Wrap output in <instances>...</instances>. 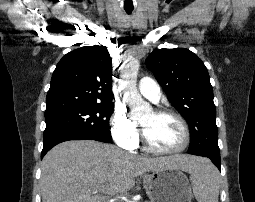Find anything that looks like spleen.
I'll list each match as a JSON object with an SVG mask.
<instances>
[{
	"label": "spleen",
	"instance_id": "1",
	"mask_svg": "<svg viewBox=\"0 0 255 202\" xmlns=\"http://www.w3.org/2000/svg\"><path fill=\"white\" fill-rule=\"evenodd\" d=\"M190 181L198 202H218L220 174L210 161L199 162L191 172Z\"/></svg>",
	"mask_w": 255,
	"mask_h": 202
}]
</instances>
